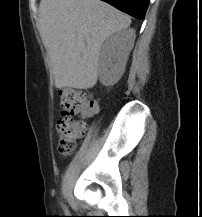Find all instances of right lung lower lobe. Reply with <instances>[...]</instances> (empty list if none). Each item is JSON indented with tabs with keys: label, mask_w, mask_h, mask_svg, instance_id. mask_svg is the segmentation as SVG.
Returning <instances> with one entry per match:
<instances>
[{
	"label": "right lung lower lobe",
	"mask_w": 202,
	"mask_h": 217,
	"mask_svg": "<svg viewBox=\"0 0 202 217\" xmlns=\"http://www.w3.org/2000/svg\"><path fill=\"white\" fill-rule=\"evenodd\" d=\"M129 15L143 20L149 0H102Z\"/></svg>",
	"instance_id": "98d812e1"
}]
</instances>
